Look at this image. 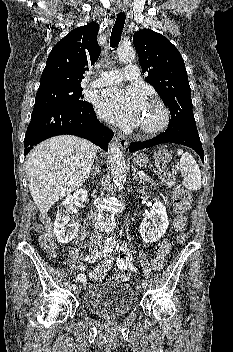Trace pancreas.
I'll use <instances>...</instances> for the list:
<instances>
[{
    "label": "pancreas",
    "mask_w": 233,
    "mask_h": 352,
    "mask_svg": "<svg viewBox=\"0 0 233 352\" xmlns=\"http://www.w3.org/2000/svg\"><path fill=\"white\" fill-rule=\"evenodd\" d=\"M140 179L146 183H152V185L156 186V184L153 183L152 179L148 175H145V176L141 177Z\"/></svg>",
    "instance_id": "obj_1"
}]
</instances>
